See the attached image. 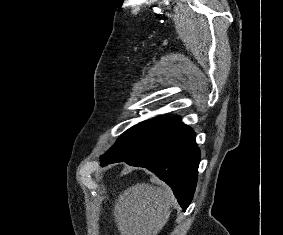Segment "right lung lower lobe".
Here are the masks:
<instances>
[{"mask_svg": "<svg viewBox=\"0 0 283 235\" xmlns=\"http://www.w3.org/2000/svg\"><path fill=\"white\" fill-rule=\"evenodd\" d=\"M123 161L154 172L172 188L184 210L189 206L197 183L200 151L195 133L187 125L180 122L146 151Z\"/></svg>", "mask_w": 283, "mask_h": 235, "instance_id": "right-lung-lower-lobe-1", "label": "right lung lower lobe"}]
</instances>
